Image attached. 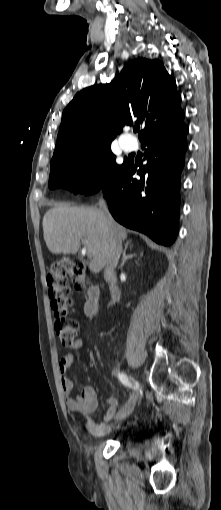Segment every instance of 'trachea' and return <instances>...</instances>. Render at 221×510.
Returning <instances> with one entry per match:
<instances>
[{"label":"trachea","mask_w":221,"mask_h":510,"mask_svg":"<svg viewBox=\"0 0 221 510\" xmlns=\"http://www.w3.org/2000/svg\"><path fill=\"white\" fill-rule=\"evenodd\" d=\"M133 131L137 132V131H139V128H133Z\"/></svg>","instance_id":"1"}]
</instances>
